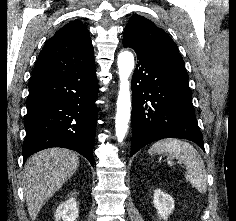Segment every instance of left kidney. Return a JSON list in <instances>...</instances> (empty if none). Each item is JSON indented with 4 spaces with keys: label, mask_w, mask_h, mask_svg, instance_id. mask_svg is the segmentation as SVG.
Instances as JSON below:
<instances>
[{
    "label": "left kidney",
    "mask_w": 236,
    "mask_h": 221,
    "mask_svg": "<svg viewBox=\"0 0 236 221\" xmlns=\"http://www.w3.org/2000/svg\"><path fill=\"white\" fill-rule=\"evenodd\" d=\"M153 204L157 210L158 216L164 220H167L175 206L173 198L160 189L154 191Z\"/></svg>",
    "instance_id": "1"
}]
</instances>
